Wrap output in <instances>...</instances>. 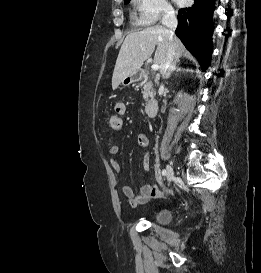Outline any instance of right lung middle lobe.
<instances>
[{
  "label": "right lung middle lobe",
  "instance_id": "dd1d6c3e",
  "mask_svg": "<svg viewBox=\"0 0 261 273\" xmlns=\"http://www.w3.org/2000/svg\"><path fill=\"white\" fill-rule=\"evenodd\" d=\"M129 2H130V0H126V1H125V4H127V3H129Z\"/></svg>",
  "mask_w": 261,
  "mask_h": 273
}]
</instances>
